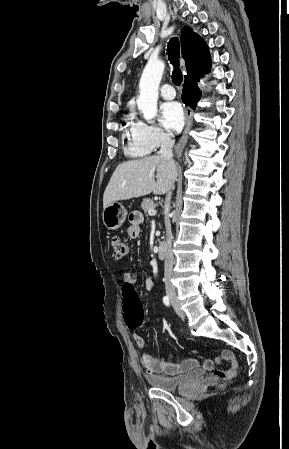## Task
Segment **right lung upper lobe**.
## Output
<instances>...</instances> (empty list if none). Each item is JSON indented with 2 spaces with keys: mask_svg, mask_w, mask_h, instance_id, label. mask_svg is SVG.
<instances>
[{
  "mask_svg": "<svg viewBox=\"0 0 289 449\" xmlns=\"http://www.w3.org/2000/svg\"><path fill=\"white\" fill-rule=\"evenodd\" d=\"M182 56L186 61L187 78H198L211 66L210 54L204 40L189 27L181 34Z\"/></svg>",
  "mask_w": 289,
  "mask_h": 449,
  "instance_id": "obj_1",
  "label": "right lung upper lobe"
}]
</instances>
